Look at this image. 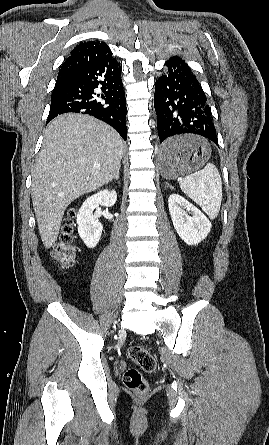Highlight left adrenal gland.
I'll use <instances>...</instances> for the list:
<instances>
[{
	"label": "left adrenal gland",
	"mask_w": 269,
	"mask_h": 445,
	"mask_svg": "<svg viewBox=\"0 0 269 445\" xmlns=\"http://www.w3.org/2000/svg\"><path fill=\"white\" fill-rule=\"evenodd\" d=\"M167 187H170V188H172L169 184H167Z\"/></svg>",
	"instance_id": "1"
}]
</instances>
